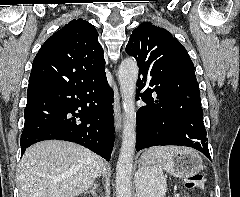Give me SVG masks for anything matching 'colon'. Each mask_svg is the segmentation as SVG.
I'll use <instances>...</instances> for the list:
<instances>
[{"mask_svg":"<svg viewBox=\"0 0 240 197\" xmlns=\"http://www.w3.org/2000/svg\"><path fill=\"white\" fill-rule=\"evenodd\" d=\"M184 183L192 197H199L198 192L204 189L206 180L202 173H194L189 175Z\"/></svg>","mask_w":240,"mask_h":197,"instance_id":"1","label":"colon"}]
</instances>
